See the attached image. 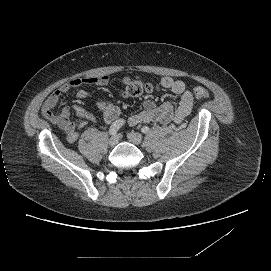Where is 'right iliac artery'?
<instances>
[{"instance_id": "1", "label": "right iliac artery", "mask_w": 271, "mask_h": 271, "mask_svg": "<svg viewBox=\"0 0 271 271\" xmlns=\"http://www.w3.org/2000/svg\"><path fill=\"white\" fill-rule=\"evenodd\" d=\"M125 124V120L118 119L115 122L112 123L109 129V133L112 136H115L117 134V131Z\"/></svg>"}]
</instances>
